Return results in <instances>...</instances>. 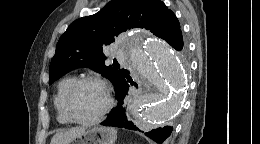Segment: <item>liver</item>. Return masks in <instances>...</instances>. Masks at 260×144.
<instances>
[{
	"label": "liver",
	"mask_w": 260,
	"mask_h": 144,
	"mask_svg": "<svg viewBox=\"0 0 260 144\" xmlns=\"http://www.w3.org/2000/svg\"><path fill=\"white\" fill-rule=\"evenodd\" d=\"M85 132L84 127L72 128L67 131H61L56 133L50 144H69L74 138Z\"/></svg>",
	"instance_id": "obj_1"
}]
</instances>
